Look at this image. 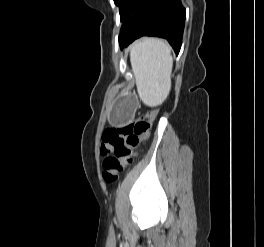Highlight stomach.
<instances>
[{
  "label": "stomach",
  "mask_w": 264,
  "mask_h": 247,
  "mask_svg": "<svg viewBox=\"0 0 264 247\" xmlns=\"http://www.w3.org/2000/svg\"><path fill=\"white\" fill-rule=\"evenodd\" d=\"M136 94H121L120 102L113 107L110 120L114 124H121L130 118H136Z\"/></svg>",
  "instance_id": "obj_1"
}]
</instances>
